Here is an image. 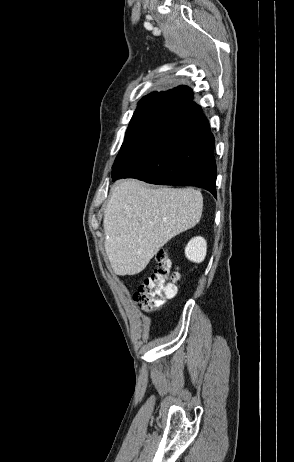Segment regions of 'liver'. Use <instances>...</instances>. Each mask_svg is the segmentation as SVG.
<instances>
[{
	"instance_id": "obj_1",
	"label": "liver",
	"mask_w": 294,
	"mask_h": 462,
	"mask_svg": "<svg viewBox=\"0 0 294 462\" xmlns=\"http://www.w3.org/2000/svg\"><path fill=\"white\" fill-rule=\"evenodd\" d=\"M202 208L201 192L193 188L149 189L137 180L117 182L103 220L113 271L121 276L143 271L164 244L200 221Z\"/></svg>"
}]
</instances>
